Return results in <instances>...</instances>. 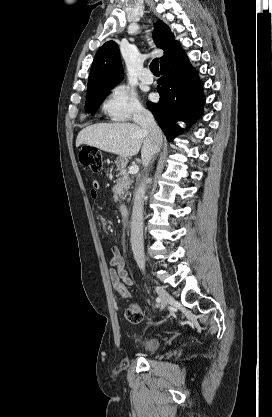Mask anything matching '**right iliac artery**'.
I'll use <instances>...</instances> for the list:
<instances>
[{
	"label": "right iliac artery",
	"instance_id": "1",
	"mask_svg": "<svg viewBox=\"0 0 272 417\" xmlns=\"http://www.w3.org/2000/svg\"><path fill=\"white\" fill-rule=\"evenodd\" d=\"M156 302H160V298L158 297V298H156Z\"/></svg>",
	"mask_w": 272,
	"mask_h": 417
}]
</instances>
